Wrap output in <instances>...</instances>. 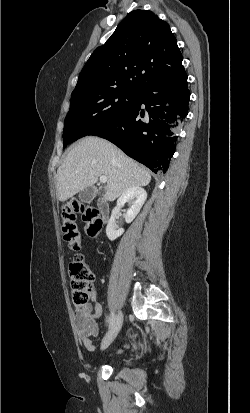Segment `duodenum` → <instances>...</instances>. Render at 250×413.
I'll return each instance as SVG.
<instances>
[{"mask_svg": "<svg viewBox=\"0 0 250 413\" xmlns=\"http://www.w3.org/2000/svg\"><path fill=\"white\" fill-rule=\"evenodd\" d=\"M97 212L102 221H106L109 213V207L106 202L99 201L97 205Z\"/></svg>", "mask_w": 250, "mask_h": 413, "instance_id": "410a0bca", "label": "duodenum"}]
</instances>
